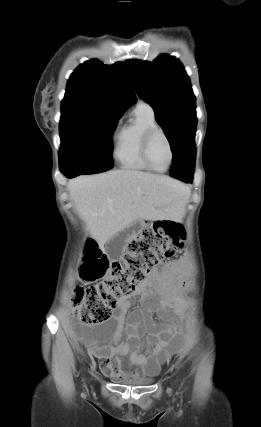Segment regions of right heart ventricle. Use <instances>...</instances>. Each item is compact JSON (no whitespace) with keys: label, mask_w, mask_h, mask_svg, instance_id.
<instances>
[{"label":"right heart ventricle","mask_w":261,"mask_h":427,"mask_svg":"<svg viewBox=\"0 0 261 427\" xmlns=\"http://www.w3.org/2000/svg\"><path fill=\"white\" fill-rule=\"evenodd\" d=\"M158 127L153 112L136 107L133 118L118 132L114 157L119 165L128 170L149 171L141 155V144L144 134Z\"/></svg>","instance_id":"1"}]
</instances>
